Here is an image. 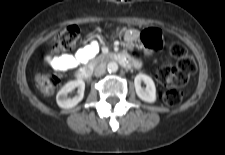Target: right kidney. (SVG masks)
Wrapping results in <instances>:
<instances>
[{
  "instance_id": "right-kidney-1",
  "label": "right kidney",
  "mask_w": 225,
  "mask_h": 155,
  "mask_svg": "<svg viewBox=\"0 0 225 155\" xmlns=\"http://www.w3.org/2000/svg\"><path fill=\"white\" fill-rule=\"evenodd\" d=\"M78 88V95L73 98L68 97V93ZM85 83L83 80H75L66 83L57 93L56 101L59 107L68 109L75 107L84 97Z\"/></svg>"
}]
</instances>
